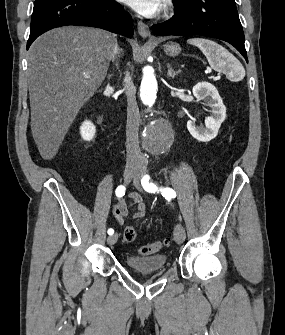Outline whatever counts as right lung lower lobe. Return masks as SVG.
<instances>
[{
  "instance_id": "obj_1",
  "label": "right lung lower lobe",
  "mask_w": 285,
  "mask_h": 335,
  "mask_svg": "<svg viewBox=\"0 0 285 335\" xmlns=\"http://www.w3.org/2000/svg\"><path fill=\"white\" fill-rule=\"evenodd\" d=\"M66 25L100 27L133 37L131 16L113 0H36L27 49L44 32Z\"/></svg>"
}]
</instances>
